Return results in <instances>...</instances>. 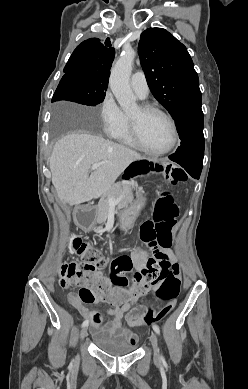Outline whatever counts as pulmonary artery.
Returning <instances> with one entry per match:
<instances>
[{
    "label": "pulmonary artery",
    "mask_w": 248,
    "mask_h": 389,
    "mask_svg": "<svg viewBox=\"0 0 248 389\" xmlns=\"http://www.w3.org/2000/svg\"><path fill=\"white\" fill-rule=\"evenodd\" d=\"M130 85L132 90L140 99H146L149 94V87L143 72L138 71L131 76Z\"/></svg>",
    "instance_id": "1"
}]
</instances>
